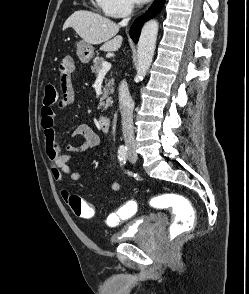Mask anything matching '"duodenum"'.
Listing matches in <instances>:
<instances>
[{"label":"duodenum","mask_w":249,"mask_h":294,"mask_svg":"<svg viewBox=\"0 0 249 294\" xmlns=\"http://www.w3.org/2000/svg\"><path fill=\"white\" fill-rule=\"evenodd\" d=\"M96 126L100 131L108 132L111 127V119L108 116L100 115L96 118Z\"/></svg>","instance_id":"obj_1"}]
</instances>
